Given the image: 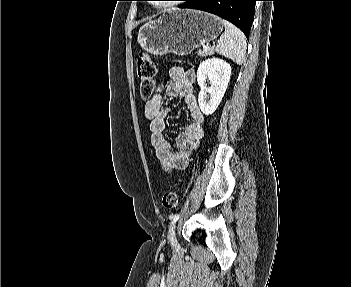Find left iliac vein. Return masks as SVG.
I'll use <instances>...</instances> for the list:
<instances>
[{"label":"left iliac vein","instance_id":"left-iliac-vein-1","mask_svg":"<svg viewBox=\"0 0 351 287\" xmlns=\"http://www.w3.org/2000/svg\"><path fill=\"white\" fill-rule=\"evenodd\" d=\"M175 235H176V232H175V228L171 231L170 233V236H169V240L171 242H174L175 241Z\"/></svg>","mask_w":351,"mask_h":287}]
</instances>
